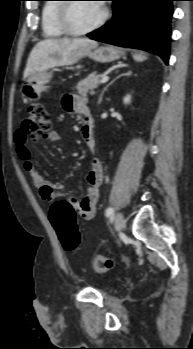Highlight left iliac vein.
<instances>
[{
    "label": "left iliac vein",
    "mask_w": 193,
    "mask_h": 349,
    "mask_svg": "<svg viewBox=\"0 0 193 349\" xmlns=\"http://www.w3.org/2000/svg\"><path fill=\"white\" fill-rule=\"evenodd\" d=\"M125 220L122 213H117L114 219V227L116 231H121L124 227Z\"/></svg>",
    "instance_id": "left-iliac-vein-1"
}]
</instances>
